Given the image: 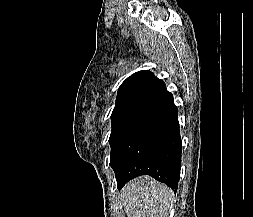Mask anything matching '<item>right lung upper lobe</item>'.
<instances>
[{
	"instance_id": "cb5924a9",
	"label": "right lung upper lobe",
	"mask_w": 253,
	"mask_h": 217,
	"mask_svg": "<svg viewBox=\"0 0 253 217\" xmlns=\"http://www.w3.org/2000/svg\"><path fill=\"white\" fill-rule=\"evenodd\" d=\"M167 92L162 80L150 71H139L128 77L119 87L116 104L130 101L152 103Z\"/></svg>"
}]
</instances>
